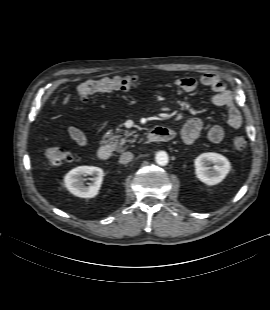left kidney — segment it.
<instances>
[{
  "mask_svg": "<svg viewBox=\"0 0 270 310\" xmlns=\"http://www.w3.org/2000/svg\"><path fill=\"white\" fill-rule=\"evenodd\" d=\"M210 164H213V167H209ZM194 166L196 177L209 186L222 182L231 169L229 160L214 152L199 155L194 160Z\"/></svg>",
  "mask_w": 270,
  "mask_h": 310,
  "instance_id": "5707ae66",
  "label": "left kidney"
}]
</instances>
